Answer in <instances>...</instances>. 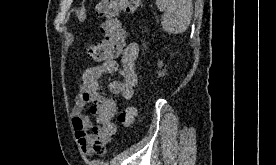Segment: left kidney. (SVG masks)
<instances>
[{
	"mask_svg": "<svg viewBox=\"0 0 276 165\" xmlns=\"http://www.w3.org/2000/svg\"><path fill=\"white\" fill-rule=\"evenodd\" d=\"M163 66V62L162 61H158V67H162Z\"/></svg>",
	"mask_w": 276,
	"mask_h": 165,
	"instance_id": "left-kidney-1",
	"label": "left kidney"
}]
</instances>
